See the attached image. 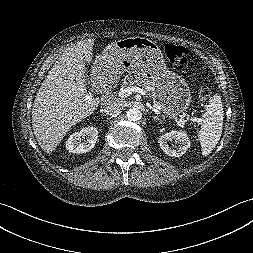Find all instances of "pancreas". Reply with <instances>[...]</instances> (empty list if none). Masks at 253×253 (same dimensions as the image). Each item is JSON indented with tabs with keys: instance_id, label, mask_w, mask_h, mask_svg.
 Here are the masks:
<instances>
[{
	"instance_id": "cf45deb5",
	"label": "pancreas",
	"mask_w": 253,
	"mask_h": 253,
	"mask_svg": "<svg viewBox=\"0 0 253 253\" xmlns=\"http://www.w3.org/2000/svg\"><path fill=\"white\" fill-rule=\"evenodd\" d=\"M136 86L143 87L145 92H149L151 90V82L149 80L136 75L125 76L122 82V88Z\"/></svg>"
}]
</instances>
